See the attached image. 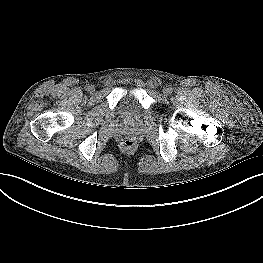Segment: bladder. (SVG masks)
Masks as SVG:
<instances>
[{
	"label": "bladder",
	"instance_id": "bladder-1",
	"mask_svg": "<svg viewBox=\"0 0 263 263\" xmlns=\"http://www.w3.org/2000/svg\"><path fill=\"white\" fill-rule=\"evenodd\" d=\"M121 114L126 118H137L140 115L138 106L130 101H124L120 106Z\"/></svg>",
	"mask_w": 263,
	"mask_h": 263
}]
</instances>
